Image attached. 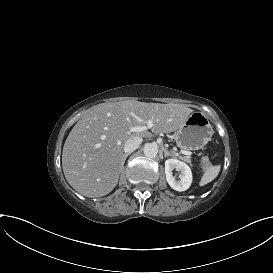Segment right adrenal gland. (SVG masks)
Wrapping results in <instances>:
<instances>
[{
	"label": "right adrenal gland",
	"mask_w": 273,
	"mask_h": 273,
	"mask_svg": "<svg viewBox=\"0 0 273 273\" xmlns=\"http://www.w3.org/2000/svg\"><path fill=\"white\" fill-rule=\"evenodd\" d=\"M130 155V153H126L123 155V162L125 161V159Z\"/></svg>",
	"instance_id": "obj_1"
}]
</instances>
